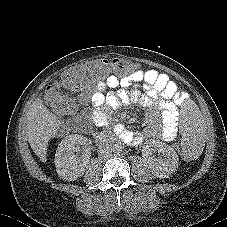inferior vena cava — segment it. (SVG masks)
<instances>
[{
	"label": "inferior vena cava",
	"instance_id": "1",
	"mask_svg": "<svg viewBox=\"0 0 227 227\" xmlns=\"http://www.w3.org/2000/svg\"><path fill=\"white\" fill-rule=\"evenodd\" d=\"M112 148L109 144L103 143L98 147V155L100 158H108L112 155Z\"/></svg>",
	"mask_w": 227,
	"mask_h": 227
}]
</instances>
